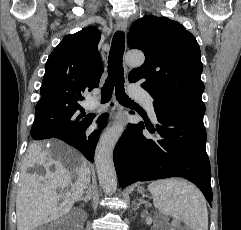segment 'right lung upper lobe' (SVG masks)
<instances>
[{
	"label": "right lung upper lobe",
	"mask_w": 241,
	"mask_h": 230,
	"mask_svg": "<svg viewBox=\"0 0 241 230\" xmlns=\"http://www.w3.org/2000/svg\"><path fill=\"white\" fill-rule=\"evenodd\" d=\"M100 36L95 27H87L63 38L47 60L35 112L79 105L84 92L99 86L103 73L97 49Z\"/></svg>",
	"instance_id": "right-lung-upper-lobe-1"
}]
</instances>
